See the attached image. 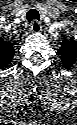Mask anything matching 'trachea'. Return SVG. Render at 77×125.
Returning a JSON list of instances; mask_svg holds the SVG:
<instances>
[{"mask_svg":"<svg viewBox=\"0 0 77 125\" xmlns=\"http://www.w3.org/2000/svg\"><path fill=\"white\" fill-rule=\"evenodd\" d=\"M26 18L31 23L33 20H39L40 15L36 9H30L26 14Z\"/></svg>","mask_w":77,"mask_h":125,"instance_id":"trachea-1","label":"trachea"}]
</instances>
